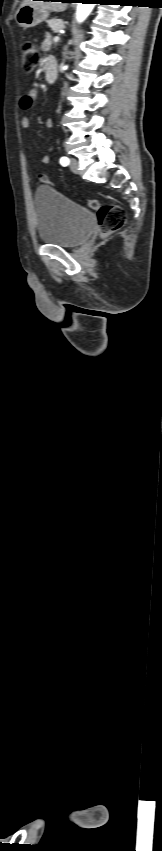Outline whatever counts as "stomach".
Instances as JSON below:
<instances>
[{
  "label": "stomach",
  "mask_w": 162,
  "mask_h": 851,
  "mask_svg": "<svg viewBox=\"0 0 162 851\" xmlns=\"http://www.w3.org/2000/svg\"><path fill=\"white\" fill-rule=\"evenodd\" d=\"M48 16V10L37 8L32 5H24L21 6L16 13V22L20 27L27 29L45 21Z\"/></svg>",
  "instance_id": "stomach-1"
}]
</instances>
